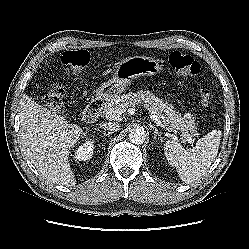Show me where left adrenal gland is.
<instances>
[{
    "instance_id": "a2214340",
    "label": "left adrenal gland",
    "mask_w": 249,
    "mask_h": 249,
    "mask_svg": "<svg viewBox=\"0 0 249 249\" xmlns=\"http://www.w3.org/2000/svg\"><path fill=\"white\" fill-rule=\"evenodd\" d=\"M150 127L154 130V140H157V136H159L161 138V135H160L159 131L157 130V128L151 124H150Z\"/></svg>"
}]
</instances>
